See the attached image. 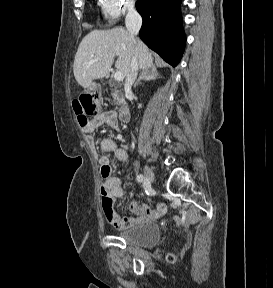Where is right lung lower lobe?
<instances>
[{
    "label": "right lung lower lobe",
    "mask_w": 273,
    "mask_h": 288,
    "mask_svg": "<svg viewBox=\"0 0 273 288\" xmlns=\"http://www.w3.org/2000/svg\"><path fill=\"white\" fill-rule=\"evenodd\" d=\"M181 0H137L136 8L143 19L140 38L166 62L176 66L185 47L181 24Z\"/></svg>",
    "instance_id": "right-lung-lower-lobe-1"
}]
</instances>
